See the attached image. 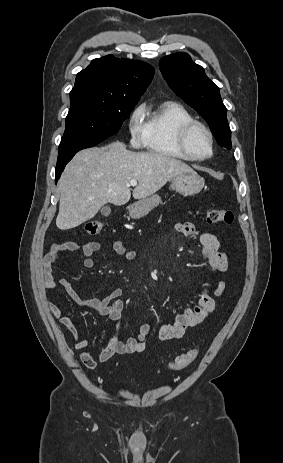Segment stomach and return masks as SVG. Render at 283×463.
Segmentation results:
<instances>
[{"mask_svg":"<svg viewBox=\"0 0 283 463\" xmlns=\"http://www.w3.org/2000/svg\"><path fill=\"white\" fill-rule=\"evenodd\" d=\"M204 186V179L195 172L184 173L172 179L170 188L176 192L191 196L198 194ZM161 203L157 194L140 199L128 207L129 215L133 219H140L146 216L152 209Z\"/></svg>","mask_w":283,"mask_h":463,"instance_id":"obj_1","label":"stomach"}]
</instances>
